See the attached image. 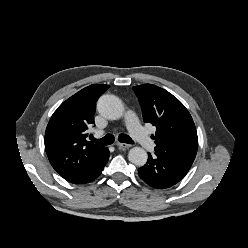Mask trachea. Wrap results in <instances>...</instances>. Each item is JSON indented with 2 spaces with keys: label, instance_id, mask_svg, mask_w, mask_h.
<instances>
[{
  "label": "trachea",
  "instance_id": "1",
  "mask_svg": "<svg viewBox=\"0 0 248 248\" xmlns=\"http://www.w3.org/2000/svg\"><path fill=\"white\" fill-rule=\"evenodd\" d=\"M118 140L122 143H127V144H134V141L126 134H120L118 136ZM93 143L99 144V145H111L114 142V137L110 134L104 136L101 139H92Z\"/></svg>",
  "mask_w": 248,
  "mask_h": 248
}]
</instances>
